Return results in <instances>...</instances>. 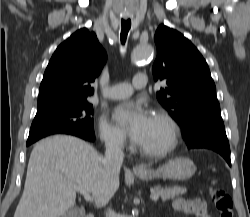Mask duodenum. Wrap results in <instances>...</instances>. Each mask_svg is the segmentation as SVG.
I'll return each mask as SVG.
<instances>
[{
    "instance_id": "410a0bca",
    "label": "duodenum",
    "mask_w": 250,
    "mask_h": 217,
    "mask_svg": "<svg viewBox=\"0 0 250 217\" xmlns=\"http://www.w3.org/2000/svg\"><path fill=\"white\" fill-rule=\"evenodd\" d=\"M85 217H94L92 214H87Z\"/></svg>"
}]
</instances>
